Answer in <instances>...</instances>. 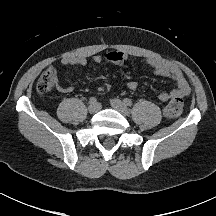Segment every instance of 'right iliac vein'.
Listing matches in <instances>:
<instances>
[{
  "mask_svg": "<svg viewBox=\"0 0 216 216\" xmlns=\"http://www.w3.org/2000/svg\"><path fill=\"white\" fill-rule=\"evenodd\" d=\"M100 110V105L98 103L90 104L88 107V111L90 114H95Z\"/></svg>",
  "mask_w": 216,
  "mask_h": 216,
  "instance_id": "63e3f726",
  "label": "right iliac vein"
}]
</instances>
